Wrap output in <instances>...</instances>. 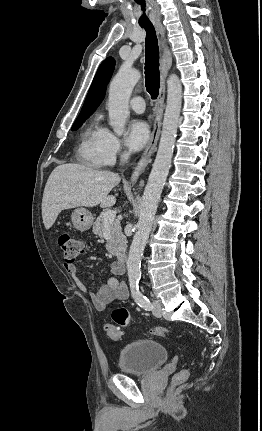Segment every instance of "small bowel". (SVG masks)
<instances>
[{
	"label": "small bowel",
	"mask_w": 262,
	"mask_h": 431,
	"mask_svg": "<svg viewBox=\"0 0 262 431\" xmlns=\"http://www.w3.org/2000/svg\"><path fill=\"white\" fill-rule=\"evenodd\" d=\"M65 269L72 276L74 283L82 293L91 294L90 289L79 278L75 265L65 264ZM124 271L125 267L120 262L114 261L111 264L113 277L105 281L95 294H91L93 304L97 310L103 311L109 304L128 298L129 291L126 285L119 283L117 280V276L122 275Z\"/></svg>",
	"instance_id": "c3829d8e"
}]
</instances>
